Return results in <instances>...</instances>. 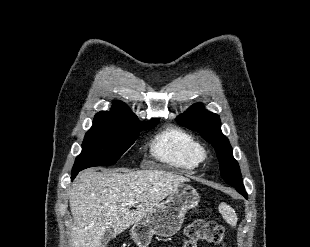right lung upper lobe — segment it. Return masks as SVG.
<instances>
[{"instance_id":"obj_1","label":"right lung upper lobe","mask_w":310,"mask_h":247,"mask_svg":"<svg viewBox=\"0 0 310 247\" xmlns=\"http://www.w3.org/2000/svg\"><path fill=\"white\" fill-rule=\"evenodd\" d=\"M97 118H111L128 122H139L126 104L121 101H114L110 111H101L96 114Z\"/></svg>"}]
</instances>
